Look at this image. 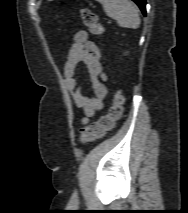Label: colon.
<instances>
[{"mask_svg":"<svg viewBox=\"0 0 188 213\" xmlns=\"http://www.w3.org/2000/svg\"><path fill=\"white\" fill-rule=\"evenodd\" d=\"M80 17L84 25L87 26L92 33L101 34L103 32L98 16L89 8H81ZM123 105L124 96L120 90H116L108 112L101 115L94 123L84 126L80 130V140L82 142H89L102 138L113 128L115 122L121 117L123 113Z\"/></svg>","mask_w":188,"mask_h":213,"instance_id":"5ec220e1","label":"colon"}]
</instances>
